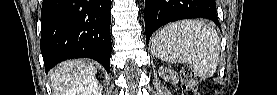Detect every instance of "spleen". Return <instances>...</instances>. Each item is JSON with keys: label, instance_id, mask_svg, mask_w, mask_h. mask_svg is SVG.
<instances>
[{"label": "spleen", "instance_id": "1", "mask_svg": "<svg viewBox=\"0 0 277 95\" xmlns=\"http://www.w3.org/2000/svg\"><path fill=\"white\" fill-rule=\"evenodd\" d=\"M220 38L217 31L198 20L166 25L152 39L151 52L162 61L192 66L200 78H209L219 63Z\"/></svg>", "mask_w": 277, "mask_h": 95}]
</instances>
